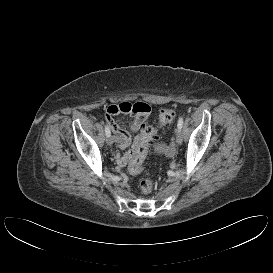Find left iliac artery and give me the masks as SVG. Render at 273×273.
<instances>
[{
    "mask_svg": "<svg viewBox=\"0 0 273 273\" xmlns=\"http://www.w3.org/2000/svg\"><path fill=\"white\" fill-rule=\"evenodd\" d=\"M177 127H178L179 130L182 129V127H183V117L179 118L178 123H177Z\"/></svg>",
    "mask_w": 273,
    "mask_h": 273,
    "instance_id": "obj_1",
    "label": "left iliac artery"
}]
</instances>
